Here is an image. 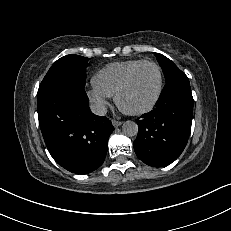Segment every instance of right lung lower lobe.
<instances>
[{
    "instance_id": "1",
    "label": "right lung lower lobe",
    "mask_w": 231,
    "mask_h": 231,
    "mask_svg": "<svg viewBox=\"0 0 231 231\" xmlns=\"http://www.w3.org/2000/svg\"><path fill=\"white\" fill-rule=\"evenodd\" d=\"M84 86L67 80L38 93V118L47 148L66 170L87 174L99 168L114 127L90 111Z\"/></svg>"
}]
</instances>
